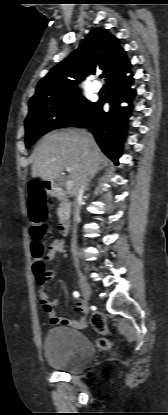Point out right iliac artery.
<instances>
[{"mask_svg":"<svg viewBox=\"0 0 168 415\" xmlns=\"http://www.w3.org/2000/svg\"><path fill=\"white\" fill-rule=\"evenodd\" d=\"M73 295H74V297H76V298H78V297L80 296L79 292H77V291H74Z\"/></svg>","mask_w":168,"mask_h":415,"instance_id":"1","label":"right iliac artery"}]
</instances>
